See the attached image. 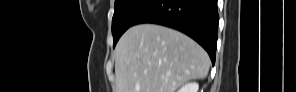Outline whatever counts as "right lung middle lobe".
<instances>
[{
  "mask_svg": "<svg viewBox=\"0 0 296 92\" xmlns=\"http://www.w3.org/2000/svg\"><path fill=\"white\" fill-rule=\"evenodd\" d=\"M155 0H115L112 19L114 47L120 36L133 25L135 19Z\"/></svg>",
  "mask_w": 296,
  "mask_h": 92,
  "instance_id": "obj_1",
  "label": "right lung middle lobe"
}]
</instances>
